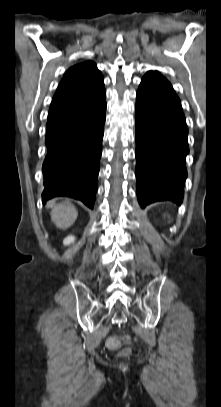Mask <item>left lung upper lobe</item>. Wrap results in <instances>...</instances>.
Listing matches in <instances>:
<instances>
[{
    "label": "left lung upper lobe",
    "instance_id": "left-lung-upper-lobe-1",
    "mask_svg": "<svg viewBox=\"0 0 221 407\" xmlns=\"http://www.w3.org/2000/svg\"><path fill=\"white\" fill-rule=\"evenodd\" d=\"M153 76H162V75L157 71H149L145 74L144 77H153Z\"/></svg>",
    "mask_w": 221,
    "mask_h": 407
}]
</instances>
